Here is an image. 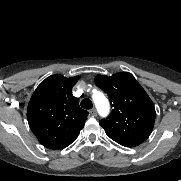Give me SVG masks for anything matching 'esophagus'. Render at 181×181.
<instances>
[{"instance_id": "obj_1", "label": "esophagus", "mask_w": 181, "mask_h": 181, "mask_svg": "<svg viewBox=\"0 0 181 181\" xmlns=\"http://www.w3.org/2000/svg\"><path fill=\"white\" fill-rule=\"evenodd\" d=\"M89 113L92 115V116H96L97 115V112H96V109L95 108H92Z\"/></svg>"}]
</instances>
